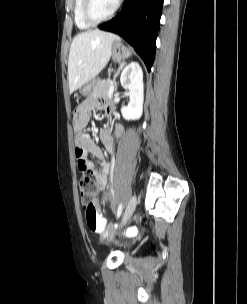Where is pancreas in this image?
<instances>
[{"label": "pancreas", "mask_w": 247, "mask_h": 304, "mask_svg": "<svg viewBox=\"0 0 247 304\" xmlns=\"http://www.w3.org/2000/svg\"><path fill=\"white\" fill-rule=\"evenodd\" d=\"M111 84L110 80H97L90 91V96L95 98H112L113 92L109 93Z\"/></svg>", "instance_id": "cf45deb5"}]
</instances>
